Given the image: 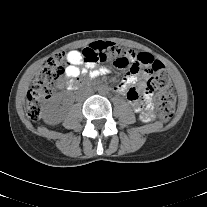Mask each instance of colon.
Returning <instances> with one entry per match:
<instances>
[{
    "mask_svg": "<svg viewBox=\"0 0 207 207\" xmlns=\"http://www.w3.org/2000/svg\"><path fill=\"white\" fill-rule=\"evenodd\" d=\"M84 61L90 65L112 63L132 72L149 71L152 77L146 88L155 94L156 114L162 122H168L175 111L173 85L164 65L150 53L141 54L137 50L127 51L113 42L98 41L82 50ZM67 55L54 54L38 70L26 96L27 116L37 121L41 118L45 102L51 97L55 86L60 82L66 67Z\"/></svg>",
    "mask_w": 207,
    "mask_h": 207,
    "instance_id": "1",
    "label": "colon"
}]
</instances>
